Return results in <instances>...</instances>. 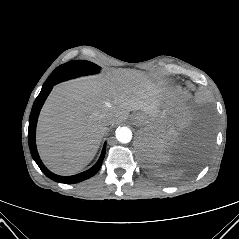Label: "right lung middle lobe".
I'll list each match as a JSON object with an SVG mask.
<instances>
[{
  "label": "right lung middle lobe",
  "mask_w": 239,
  "mask_h": 239,
  "mask_svg": "<svg viewBox=\"0 0 239 239\" xmlns=\"http://www.w3.org/2000/svg\"><path fill=\"white\" fill-rule=\"evenodd\" d=\"M99 67L92 62L84 60L70 61L57 67L48 77L42 88L54 86L55 84L89 73H97Z\"/></svg>",
  "instance_id": "dd1d6c3e"
}]
</instances>
